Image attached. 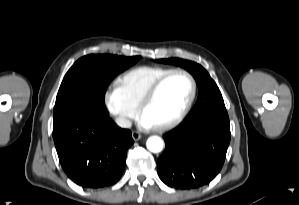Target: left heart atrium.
I'll list each match as a JSON object with an SVG mask.
<instances>
[{
    "instance_id": "39dd6f15",
    "label": "left heart atrium",
    "mask_w": 299,
    "mask_h": 205,
    "mask_svg": "<svg viewBox=\"0 0 299 205\" xmlns=\"http://www.w3.org/2000/svg\"><path fill=\"white\" fill-rule=\"evenodd\" d=\"M140 125L143 127V128H151L153 127V125L151 124L150 121H148L145 117H141L140 119Z\"/></svg>"
}]
</instances>
